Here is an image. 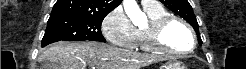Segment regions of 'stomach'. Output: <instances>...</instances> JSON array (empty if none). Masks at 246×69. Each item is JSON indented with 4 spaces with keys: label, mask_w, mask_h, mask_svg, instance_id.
<instances>
[{
    "label": "stomach",
    "mask_w": 246,
    "mask_h": 69,
    "mask_svg": "<svg viewBox=\"0 0 246 69\" xmlns=\"http://www.w3.org/2000/svg\"><path fill=\"white\" fill-rule=\"evenodd\" d=\"M161 69H186L180 62L168 61L162 65Z\"/></svg>",
    "instance_id": "1"
}]
</instances>
